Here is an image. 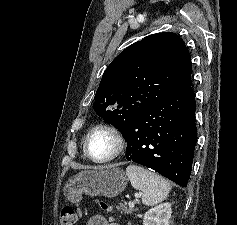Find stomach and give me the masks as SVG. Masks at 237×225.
Segmentation results:
<instances>
[{
    "mask_svg": "<svg viewBox=\"0 0 237 225\" xmlns=\"http://www.w3.org/2000/svg\"><path fill=\"white\" fill-rule=\"evenodd\" d=\"M128 178L119 167L104 170H84L71 178L64 186V195L72 203L82 199V194L114 198L127 186Z\"/></svg>",
    "mask_w": 237,
    "mask_h": 225,
    "instance_id": "0dacf381",
    "label": "stomach"
}]
</instances>
